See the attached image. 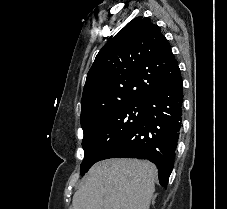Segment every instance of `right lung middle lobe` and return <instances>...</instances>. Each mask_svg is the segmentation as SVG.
<instances>
[{
  "label": "right lung middle lobe",
  "mask_w": 227,
  "mask_h": 209,
  "mask_svg": "<svg viewBox=\"0 0 227 209\" xmlns=\"http://www.w3.org/2000/svg\"><path fill=\"white\" fill-rule=\"evenodd\" d=\"M105 110L98 115L81 120L84 132L82 147L84 159L80 174L102 158L141 119L144 102L108 98L101 101Z\"/></svg>",
  "instance_id": "1"
}]
</instances>
